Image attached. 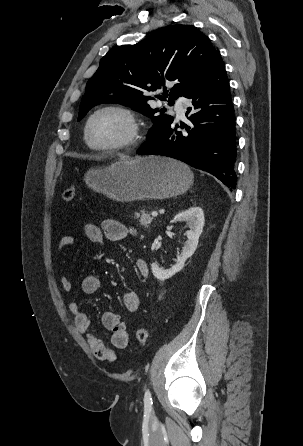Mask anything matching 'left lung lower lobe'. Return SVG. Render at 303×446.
<instances>
[{
	"label": "left lung lower lobe",
	"instance_id": "1",
	"mask_svg": "<svg viewBox=\"0 0 303 446\" xmlns=\"http://www.w3.org/2000/svg\"><path fill=\"white\" fill-rule=\"evenodd\" d=\"M183 97L192 100V107H188L186 112V115L191 112L188 117L191 127L178 131L179 125L173 121L137 154L178 159L214 175L230 190L235 189V117L225 64L220 54Z\"/></svg>",
	"mask_w": 303,
	"mask_h": 446
}]
</instances>
